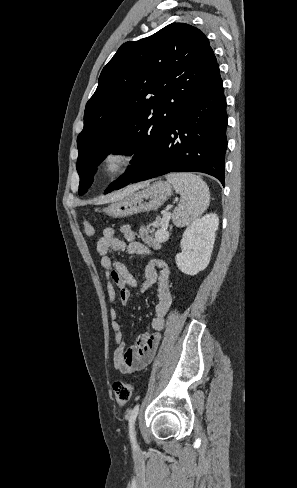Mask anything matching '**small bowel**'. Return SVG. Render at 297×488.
<instances>
[{
  "label": "small bowel",
  "mask_w": 297,
  "mask_h": 488,
  "mask_svg": "<svg viewBox=\"0 0 297 488\" xmlns=\"http://www.w3.org/2000/svg\"><path fill=\"white\" fill-rule=\"evenodd\" d=\"M96 252L100 256L99 265L106 277L105 286L111 302L109 316L115 336L114 367L124 375L138 372L154 358L160 341L159 331L163 329L173 304L170 270L165 261L152 258L146 266L143 282L138 284L128 269L118 260L117 254L125 252L151 256L152 251L148 246L137 241L136 234L129 225L120 226L118 229L105 228L97 240ZM154 285H157L158 301L151 322V332L141 335L134 346L125 348L116 303L119 301L122 305H127L131 301L132 289L144 292Z\"/></svg>",
  "instance_id": "small-bowel-1"
}]
</instances>
